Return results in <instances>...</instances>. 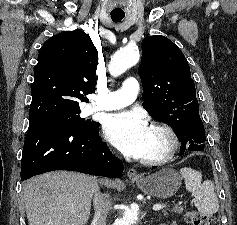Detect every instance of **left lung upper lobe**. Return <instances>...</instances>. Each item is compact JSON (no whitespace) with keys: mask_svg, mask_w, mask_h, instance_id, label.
Segmentation results:
<instances>
[{"mask_svg":"<svg viewBox=\"0 0 237 225\" xmlns=\"http://www.w3.org/2000/svg\"><path fill=\"white\" fill-rule=\"evenodd\" d=\"M139 75L143 85V107L160 122L179 132L199 114L196 89L189 64L168 38L156 35L142 41Z\"/></svg>","mask_w":237,"mask_h":225,"instance_id":"5c2ea615","label":"left lung upper lobe"}]
</instances>
